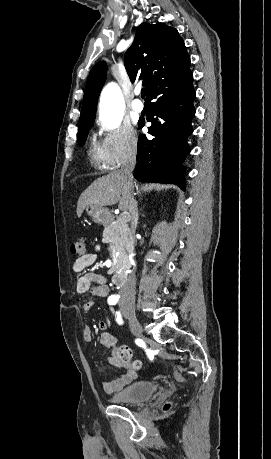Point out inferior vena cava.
<instances>
[{"label":"inferior vena cava","instance_id":"602c4592","mask_svg":"<svg viewBox=\"0 0 271 459\" xmlns=\"http://www.w3.org/2000/svg\"><path fill=\"white\" fill-rule=\"evenodd\" d=\"M136 160H128L127 164H124L121 168V174L128 176L130 180H133L132 172L135 168ZM132 186V184H131ZM132 208H130V214H128L129 220H131L132 226H136L138 222V212L136 208V202H131ZM135 279H128L120 289L121 299H135Z\"/></svg>","mask_w":271,"mask_h":459}]
</instances>
